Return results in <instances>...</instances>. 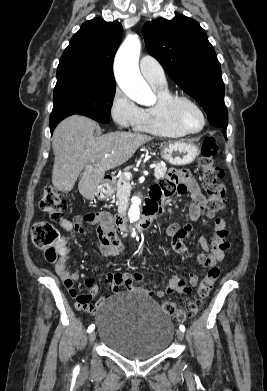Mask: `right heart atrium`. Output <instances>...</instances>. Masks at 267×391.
I'll list each match as a JSON object with an SVG mask.
<instances>
[{
    "label": "right heart atrium",
    "instance_id": "d8ad5b80",
    "mask_svg": "<svg viewBox=\"0 0 267 391\" xmlns=\"http://www.w3.org/2000/svg\"><path fill=\"white\" fill-rule=\"evenodd\" d=\"M110 115L119 128L135 127L141 117V108L117 89L110 105Z\"/></svg>",
    "mask_w": 267,
    "mask_h": 391
}]
</instances>
